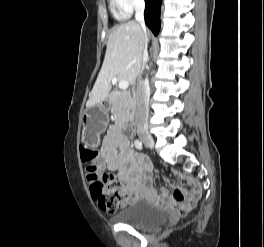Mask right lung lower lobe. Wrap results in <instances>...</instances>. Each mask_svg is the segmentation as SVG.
<instances>
[{
    "label": "right lung lower lobe",
    "instance_id": "obj_1",
    "mask_svg": "<svg viewBox=\"0 0 264 247\" xmlns=\"http://www.w3.org/2000/svg\"><path fill=\"white\" fill-rule=\"evenodd\" d=\"M145 23L156 36L160 30V8L162 0H145Z\"/></svg>",
    "mask_w": 264,
    "mask_h": 247
}]
</instances>
